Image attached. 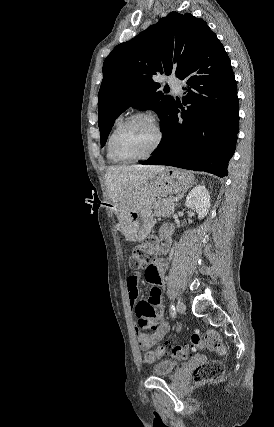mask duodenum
Instances as JSON below:
<instances>
[{
	"label": "duodenum",
	"mask_w": 274,
	"mask_h": 427,
	"mask_svg": "<svg viewBox=\"0 0 274 427\" xmlns=\"http://www.w3.org/2000/svg\"><path fill=\"white\" fill-rule=\"evenodd\" d=\"M163 236H164V239H163L162 247H163V250L165 252H167L171 246V237H170L171 236V229L169 227H167L163 230Z\"/></svg>",
	"instance_id": "obj_1"
}]
</instances>
